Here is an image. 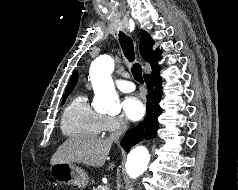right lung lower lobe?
Listing matches in <instances>:
<instances>
[{
	"mask_svg": "<svg viewBox=\"0 0 238 190\" xmlns=\"http://www.w3.org/2000/svg\"><path fill=\"white\" fill-rule=\"evenodd\" d=\"M159 71L160 69L151 73L150 75L144 76L148 87L147 114L143 122L127 131L123 137L121 146L126 151H129L130 148L138 143L141 139L155 137L159 125L157 118L161 114L159 102L162 95V81Z\"/></svg>",
	"mask_w": 238,
	"mask_h": 190,
	"instance_id": "obj_1",
	"label": "right lung lower lobe"
}]
</instances>
